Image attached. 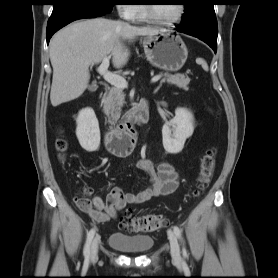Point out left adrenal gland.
I'll return each instance as SVG.
<instances>
[{
  "label": "left adrenal gland",
  "instance_id": "obj_1",
  "mask_svg": "<svg viewBox=\"0 0 278 278\" xmlns=\"http://www.w3.org/2000/svg\"><path fill=\"white\" fill-rule=\"evenodd\" d=\"M159 89H160V86H158V87L155 89L154 93H157Z\"/></svg>",
  "mask_w": 278,
  "mask_h": 278
}]
</instances>
